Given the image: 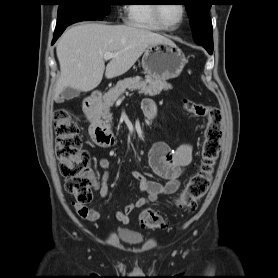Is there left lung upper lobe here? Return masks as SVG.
Returning a JSON list of instances; mask_svg holds the SVG:
<instances>
[{"label": "left lung upper lobe", "instance_id": "left-lung-upper-lobe-1", "mask_svg": "<svg viewBox=\"0 0 278 278\" xmlns=\"http://www.w3.org/2000/svg\"><path fill=\"white\" fill-rule=\"evenodd\" d=\"M190 25L195 43L213 48L212 22L209 17L211 0H186Z\"/></svg>", "mask_w": 278, "mask_h": 278}]
</instances>
